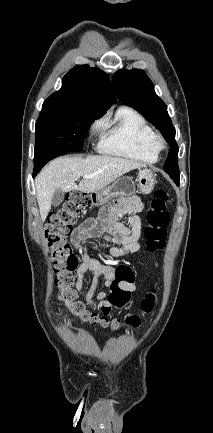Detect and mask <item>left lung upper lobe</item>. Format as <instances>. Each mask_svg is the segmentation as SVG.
<instances>
[{
    "instance_id": "left-lung-upper-lobe-1",
    "label": "left lung upper lobe",
    "mask_w": 213,
    "mask_h": 433,
    "mask_svg": "<svg viewBox=\"0 0 213 433\" xmlns=\"http://www.w3.org/2000/svg\"><path fill=\"white\" fill-rule=\"evenodd\" d=\"M113 81L119 100L140 112L161 132L171 146L164 170L176 185H179L178 145L175 141V128L168 115L166 104L154 91L152 81L144 71L139 69L118 70L113 75Z\"/></svg>"
}]
</instances>
